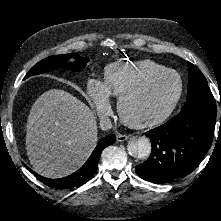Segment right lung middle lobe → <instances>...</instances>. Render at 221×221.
Here are the masks:
<instances>
[{
	"label": "right lung middle lobe",
	"instance_id": "dd1d6c3e",
	"mask_svg": "<svg viewBox=\"0 0 221 221\" xmlns=\"http://www.w3.org/2000/svg\"><path fill=\"white\" fill-rule=\"evenodd\" d=\"M70 58H74L75 61L71 64H66L67 60ZM88 60V58H83L76 54L50 56L34 65L25 76V79L29 76L38 75L50 70L58 69L61 66L70 68L73 71H81L86 66Z\"/></svg>",
	"mask_w": 221,
	"mask_h": 221
}]
</instances>
